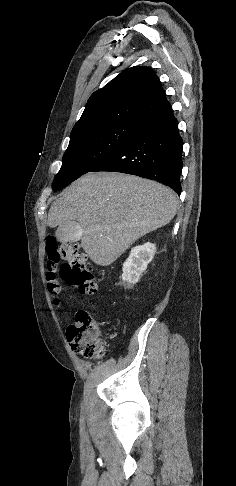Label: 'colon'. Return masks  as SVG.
Masks as SVG:
<instances>
[{
    "instance_id": "5ec220e1",
    "label": "colon",
    "mask_w": 236,
    "mask_h": 486,
    "mask_svg": "<svg viewBox=\"0 0 236 486\" xmlns=\"http://www.w3.org/2000/svg\"><path fill=\"white\" fill-rule=\"evenodd\" d=\"M46 251V278L48 289L55 296V303H58L56 296L62 288L56 275L61 262L63 264L60 268V277L66 284L76 288L82 295H91L96 291L94 272L87 262L85 253L77 244H59L50 238L46 244ZM67 338L72 350L85 358H98L104 351L101 331L86 311L77 312L67 329Z\"/></svg>"
}]
</instances>
